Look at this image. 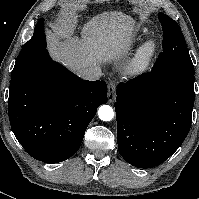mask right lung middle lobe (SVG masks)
Instances as JSON below:
<instances>
[{
  "instance_id": "dd1d6c3e",
  "label": "right lung middle lobe",
  "mask_w": 199,
  "mask_h": 199,
  "mask_svg": "<svg viewBox=\"0 0 199 199\" xmlns=\"http://www.w3.org/2000/svg\"><path fill=\"white\" fill-rule=\"evenodd\" d=\"M46 50V39L44 34V19L41 18L34 29L32 38L24 44L17 57L13 71L18 70L34 57Z\"/></svg>"
}]
</instances>
